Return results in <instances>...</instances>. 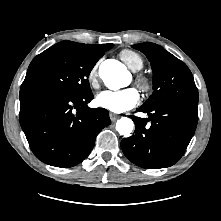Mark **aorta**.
<instances>
[{
    "mask_svg": "<svg viewBox=\"0 0 221 221\" xmlns=\"http://www.w3.org/2000/svg\"><path fill=\"white\" fill-rule=\"evenodd\" d=\"M127 74L125 67L116 61H104L99 67V75L105 85L116 90L122 87V79ZM134 128V123L130 118L122 117L117 120L116 130L124 136H129Z\"/></svg>",
    "mask_w": 221,
    "mask_h": 221,
    "instance_id": "1",
    "label": "aorta"
}]
</instances>
